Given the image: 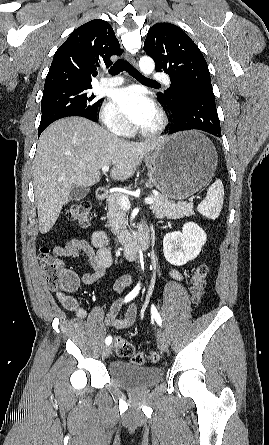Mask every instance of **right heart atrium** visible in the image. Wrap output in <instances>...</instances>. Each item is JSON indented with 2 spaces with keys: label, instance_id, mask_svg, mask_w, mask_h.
Returning <instances> with one entry per match:
<instances>
[{
  "label": "right heart atrium",
  "instance_id": "right-heart-atrium-1",
  "mask_svg": "<svg viewBox=\"0 0 269 445\" xmlns=\"http://www.w3.org/2000/svg\"><path fill=\"white\" fill-rule=\"evenodd\" d=\"M100 118L105 127L114 134L123 136L130 131L129 123L111 102L103 105Z\"/></svg>",
  "mask_w": 269,
  "mask_h": 445
}]
</instances>
